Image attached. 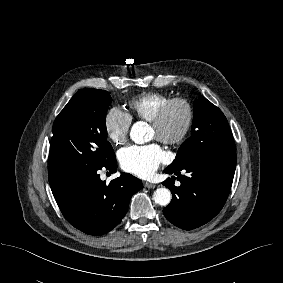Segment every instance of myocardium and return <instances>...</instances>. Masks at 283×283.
Listing matches in <instances>:
<instances>
[{"label":"myocardium","mask_w":283,"mask_h":283,"mask_svg":"<svg viewBox=\"0 0 283 283\" xmlns=\"http://www.w3.org/2000/svg\"><path fill=\"white\" fill-rule=\"evenodd\" d=\"M176 105H179L184 109L185 121L181 130L177 134L169 136L165 133V123L170 110ZM194 119V107L187 98L171 97L160 106L150 123L157 132V140L165 144L175 145L182 143L187 138L193 126Z\"/></svg>","instance_id":"f54148a6"}]
</instances>
